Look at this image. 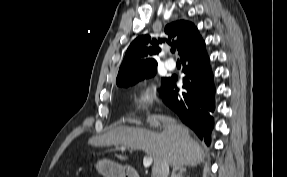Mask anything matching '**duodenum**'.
I'll return each mask as SVG.
<instances>
[{
    "mask_svg": "<svg viewBox=\"0 0 287 177\" xmlns=\"http://www.w3.org/2000/svg\"><path fill=\"white\" fill-rule=\"evenodd\" d=\"M119 174H121V177H139L138 174H136L135 171L129 166H124Z\"/></svg>",
    "mask_w": 287,
    "mask_h": 177,
    "instance_id": "410a0bca",
    "label": "duodenum"
}]
</instances>
